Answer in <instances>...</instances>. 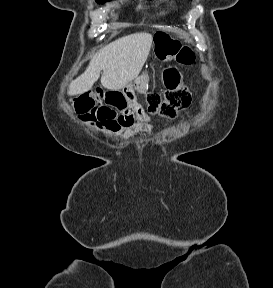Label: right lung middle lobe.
Here are the masks:
<instances>
[{"label": "right lung middle lobe", "instance_id": "obj_1", "mask_svg": "<svg viewBox=\"0 0 273 288\" xmlns=\"http://www.w3.org/2000/svg\"><path fill=\"white\" fill-rule=\"evenodd\" d=\"M106 1H109V0H96V2H98V3H102V2H106Z\"/></svg>", "mask_w": 273, "mask_h": 288}]
</instances>
